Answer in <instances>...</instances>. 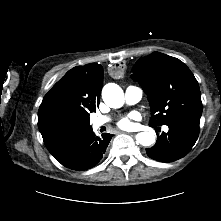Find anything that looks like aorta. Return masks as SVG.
<instances>
[{
	"label": "aorta",
	"instance_id": "obj_1",
	"mask_svg": "<svg viewBox=\"0 0 221 221\" xmlns=\"http://www.w3.org/2000/svg\"><path fill=\"white\" fill-rule=\"evenodd\" d=\"M102 98L111 108H120L124 104L123 90L115 83H108L103 87ZM136 140L143 146H151L155 142V135L152 132H140L136 135Z\"/></svg>",
	"mask_w": 221,
	"mask_h": 221
}]
</instances>
